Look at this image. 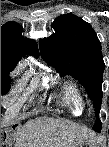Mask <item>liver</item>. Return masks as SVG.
I'll return each instance as SVG.
<instances>
[{
  "mask_svg": "<svg viewBox=\"0 0 109 147\" xmlns=\"http://www.w3.org/2000/svg\"><path fill=\"white\" fill-rule=\"evenodd\" d=\"M94 138V132L85 127L43 117L29 120L20 128L14 147H78L82 140Z\"/></svg>",
  "mask_w": 109,
  "mask_h": 147,
  "instance_id": "obj_1",
  "label": "liver"
}]
</instances>
